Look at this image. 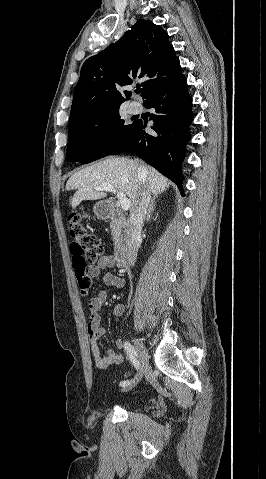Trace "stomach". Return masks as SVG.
Segmentation results:
<instances>
[{"label":"stomach","mask_w":266,"mask_h":479,"mask_svg":"<svg viewBox=\"0 0 266 479\" xmlns=\"http://www.w3.org/2000/svg\"><path fill=\"white\" fill-rule=\"evenodd\" d=\"M94 213L100 219H107L111 214V207L109 203L101 201L94 205Z\"/></svg>","instance_id":"1"}]
</instances>
